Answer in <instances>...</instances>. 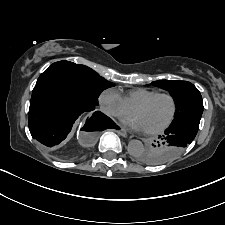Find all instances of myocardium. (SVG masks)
<instances>
[{
    "label": "myocardium",
    "instance_id": "1",
    "mask_svg": "<svg viewBox=\"0 0 225 225\" xmlns=\"http://www.w3.org/2000/svg\"><path fill=\"white\" fill-rule=\"evenodd\" d=\"M159 97H167L170 99V101L172 103V112H171L169 119L162 126L155 128V129H151V130H145V132L147 134H158V133H161L164 130H166L173 123L176 113H177V101H176L175 97L171 93H166V92H160V93H156V94L150 96L149 98L145 99L144 101H142V102L138 103L136 106H134L133 110L138 109V108H143V107L149 105L151 102H153L155 99H157Z\"/></svg>",
    "mask_w": 225,
    "mask_h": 225
}]
</instances>
